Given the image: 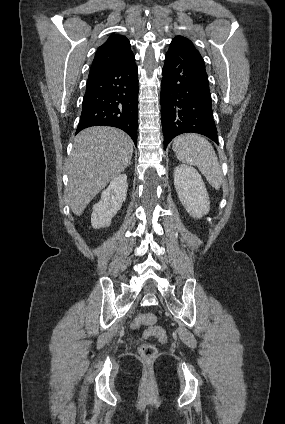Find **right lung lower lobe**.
Instances as JSON below:
<instances>
[{
  "mask_svg": "<svg viewBox=\"0 0 285 424\" xmlns=\"http://www.w3.org/2000/svg\"><path fill=\"white\" fill-rule=\"evenodd\" d=\"M137 120L135 58L113 69L89 75L76 133L91 126H113L125 131L136 145Z\"/></svg>",
  "mask_w": 285,
  "mask_h": 424,
  "instance_id": "obj_1",
  "label": "right lung lower lobe"
}]
</instances>
